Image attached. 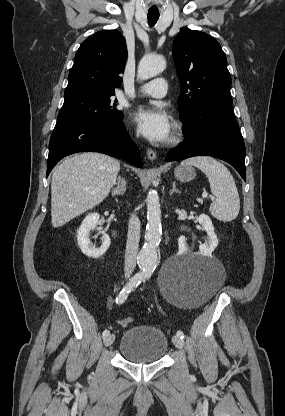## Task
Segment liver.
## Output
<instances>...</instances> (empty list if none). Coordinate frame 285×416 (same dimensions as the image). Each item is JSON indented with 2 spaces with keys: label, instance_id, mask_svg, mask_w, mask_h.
Masks as SVG:
<instances>
[{
  "label": "liver",
  "instance_id": "6515ba94",
  "mask_svg": "<svg viewBox=\"0 0 285 416\" xmlns=\"http://www.w3.org/2000/svg\"><path fill=\"white\" fill-rule=\"evenodd\" d=\"M120 170L118 160L104 154H75L56 168L51 182L53 228L92 210L107 198Z\"/></svg>",
  "mask_w": 285,
  "mask_h": 416
}]
</instances>
